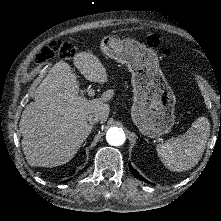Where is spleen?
I'll return each mask as SVG.
<instances>
[{"instance_id":"spleen-1","label":"spleen","mask_w":221,"mask_h":221,"mask_svg":"<svg viewBox=\"0 0 221 221\" xmlns=\"http://www.w3.org/2000/svg\"><path fill=\"white\" fill-rule=\"evenodd\" d=\"M210 136V122L198 117L182 135L172 137L156 147L162 163L171 171L183 172L193 168L201 159Z\"/></svg>"}]
</instances>
